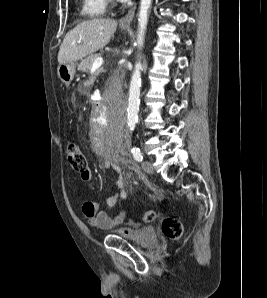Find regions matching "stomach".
<instances>
[{
	"mask_svg": "<svg viewBox=\"0 0 267 298\" xmlns=\"http://www.w3.org/2000/svg\"><path fill=\"white\" fill-rule=\"evenodd\" d=\"M122 29H127L126 27H122ZM58 77L60 80L69 85L71 81L74 78V75L76 73V63H66V64H60L57 68Z\"/></svg>",
	"mask_w": 267,
	"mask_h": 298,
	"instance_id": "obj_1",
	"label": "stomach"
}]
</instances>
